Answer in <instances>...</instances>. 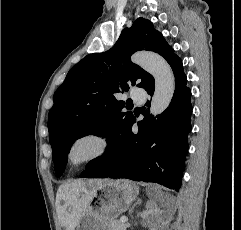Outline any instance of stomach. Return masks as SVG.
<instances>
[{"instance_id":"0dacf381","label":"stomach","mask_w":241,"mask_h":230,"mask_svg":"<svg viewBox=\"0 0 241 230\" xmlns=\"http://www.w3.org/2000/svg\"><path fill=\"white\" fill-rule=\"evenodd\" d=\"M137 195L138 187L128 180L96 183L94 196L76 230H110L109 224L129 209Z\"/></svg>"}]
</instances>
